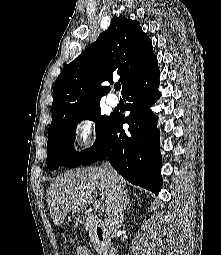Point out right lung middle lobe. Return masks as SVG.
<instances>
[{
    "label": "right lung middle lobe",
    "mask_w": 221,
    "mask_h": 255,
    "mask_svg": "<svg viewBox=\"0 0 221 255\" xmlns=\"http://www.w3.org/2000/svg\"><path fill=\"white\" fill-rule=\"evenodd\" d=\"M113 115H101L100 103L89 105L79 111L67 115L51 132H48L47 167L53 171L59 166L76 167L81 165L98 144L103 132L108 127ZM95 122L96 141L92 147L75 152L74 141L77 124L82 120Z\"/></svg>",
    "instance_id": "1"
}]
</instances>
